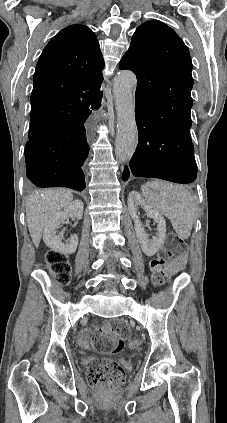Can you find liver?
Wrapping results in <instances>:
<instances>
[{"label":"liver","mask_w":227,"mask_h":423,"mask_svg":"<svg viewBox=\"0 0 227 423\" xmlns=\"http://www.w3.org/2000/svg\"><path fill=\"white\" fill-rule=\"evenodd\" d=\"M72 200L73 194L62 188L41 190L29 196L26 202V219L35 247H39L44 227L50 217H53L56 211L69 206Z\"/></svg>","instance_id":"obj_1"}]
</instances>
